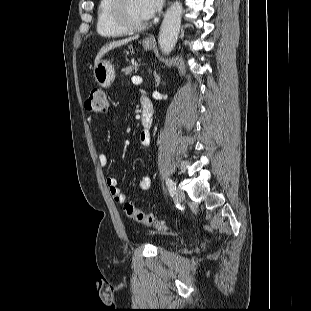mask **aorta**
Here are the masks:
<instances>
[{
    "mask_svg": "<svg viewBox=\"0 0 311 311\" xmlns=\"http://www.w3.org/2000/svg\"><path fill=\"white\" fill-rule=\"evenodd\" d=\"M182 3L174 2L166 11L160 27L158 43L160 50L168 55L174 48L181 26Z\"/></svg>",
    "mask_w": 311,
    "mask_h": 311,
    "instance_id": "762f6f07",
    "label": "aorta"
}]
</instances>
